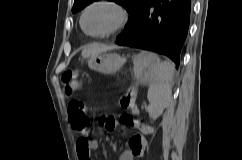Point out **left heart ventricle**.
Masks as SVG:
<instances>
[{
    "label": "left heart ventricle",
    "instance_id": "left-heart-ventricle-1",
    "mask_svg": "<svg viewBox=\"0 0 242 160\" xmlns=\"http://www.w3.org/2000/svg\"><path fill=\"white\" fill-rule=\"evenodd\" d=\"M118 12L107 5H99L90 9L85 16V27L90 33H103L118 22Z\"/></svg>",
    "mask_w": 242,
    "mask_h": 160
}]
</instances>
